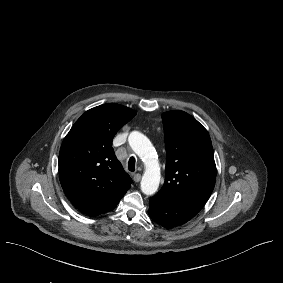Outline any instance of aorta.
I'll list each match as a JSON object with an SVG mask.
<instances>
[{
  "label": "aorta",
  "instance_id": "obj_1",
  "mask_svg": "<svg viewBox=\"0 0 283 283\" xmlns=\"http://www.w3.org/2000/svg\"><path fill=\"white\" fill-rule=\"evenodd\" d=\"M128 142L145 165V172L141 180V190L146 195H153L159 187L161 178L155 149L150 140L138 131L130 133Z\"/></svg>",
  "mask_w": 283,
  "mask_h": 283
}]
</instances>
